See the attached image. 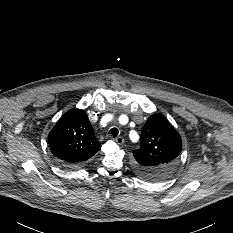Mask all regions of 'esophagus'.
I'll list each match as a JSON object with an SVG mask.
<instances>
[{"mask_svg": "<svg viewBox=\"0 0 233 233\" xmlns=\"http://www.w3.org/2000/svg\"><path fill=\"white\" fill-rule=\"evenodd\" d=\"M114 141L118 144V145H122L124 143V138L122 136H118L114 139Z\"/></svg>", "mask_w": 233, "mask_h": 233, "instance_id": "34e87169", "label": "esophagus"}]
</instances>
